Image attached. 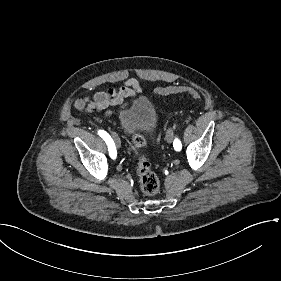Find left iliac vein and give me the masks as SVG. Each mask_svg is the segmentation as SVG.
Instances as JSON below:
<instances>
[{"label":"left iliac vein","instance_id":"4c4485c4","mask_svg":"<svg viewBox=\"0 0 281 281\" xmlns=\"http://www.w3.org/2000/svg\"><path fill=\"white\" fill-rule=\"evenodd\" d=\"M166 140L168 143H171L173 141V131L172 129H169L166 133Z\"/></svg>","mask_w":281,"mask_h":281}]
</instances>
